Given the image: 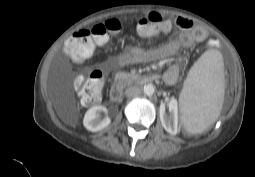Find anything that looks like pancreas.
Instances as JSON below:
<instances>
[{"mask_svg": "<svg viewBox=\"0 0 255 177\" xmlns=\"http://www.w3.org/2000/svg\"><path fill=\"white\" fill-rule=\"evenodd\" d=\"M138 78V75L126 72H118L115 75V81L122 83L123 85H129Z\"/></svg>", "mask_w": 255, "mask_h": 177, "instance_id": "cf45deb5", "label": "pancreas"}]
</instances>
